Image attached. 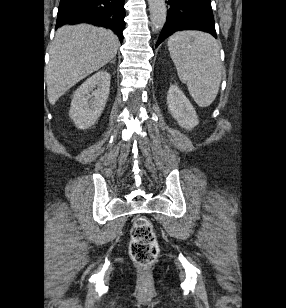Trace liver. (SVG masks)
<instances>
[{"instance_id":"obj_1","label":"liver","mask_w":286,"mask_h":308,"mask_svg":"<svg viewBox=\"0 0 286 308\" xmlns=\"http://www.w3.org/2000/svg\"><path fill=\"white\" fill-rule=\"evenodd\" d=\"M118 47V37L104 28L88 24L59 28L46 71L49 103L54 105L76 83L111 61Z\"/></svg>"}]
</instances>
